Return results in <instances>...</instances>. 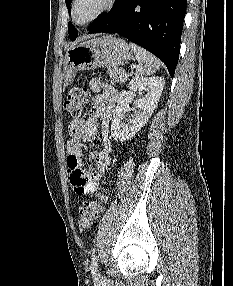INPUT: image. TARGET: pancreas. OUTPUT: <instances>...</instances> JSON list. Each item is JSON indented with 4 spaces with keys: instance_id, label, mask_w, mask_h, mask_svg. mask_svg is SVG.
Segmentation results:
<instances>
[{
    "instance_id": "pancreas-1",
    "label": "pancreas",
    "mask_w": 233,
    "mask_h": 286,
    "mask_svg": "<svg viewBox=\"0 0 233 286\" xmlns=\"http://www.w3.org/2000/svg\"><path fill=\"white\" fill-rule=\"evenodd\" d=\"M107 73L114 82L122 84L127 80V77L124 76L125 70L123 68H108Z\"/></svg>"
}]
</instances>
